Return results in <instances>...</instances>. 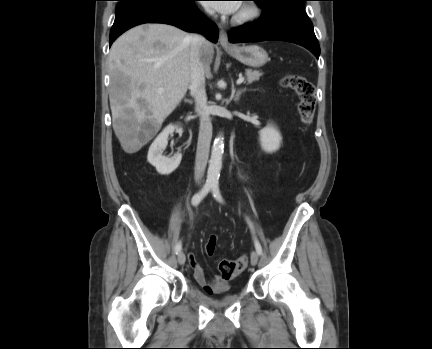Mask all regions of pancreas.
Returning a JSON list of instances; mask_svg holds the SVG:
<instances>
[{"label": "pancreas", "mask_w": 432, "mask_h": 349, "mask_svg": "<svg viewBox=\"0 0 432 349\" xmlns=\"http://www.w3.org/2000/svg\"><path fill=\"white\" fill-rule=\"evenodd\" d=\"M262 76V72L252 69L246 70V84H251L254 81H258L260 77Z\"/></svg>", "instance_id": "cf45deb5"}]
</instances>
